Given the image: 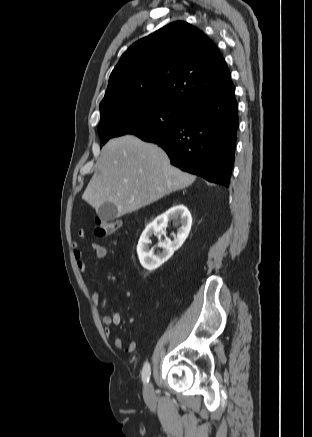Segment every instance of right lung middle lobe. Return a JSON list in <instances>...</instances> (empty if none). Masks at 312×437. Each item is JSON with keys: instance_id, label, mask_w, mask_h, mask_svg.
I'll use <instances>...</instances> for the list:
<instances>
[{"instance_id": "dd1d6c3e", "label": "right lung middle lobe", "mask_w": 312, "mask_h": 437, "mask_svg": "<svg viewBox=\"0 0 312 437\" xmlns=\"http://www.w3.org/2000/svg\"><path fill=\"white\" fill-rule=\"evenodd\" d=\"M185 108L161 102L132 103L118 107L104 116L98 125L101 146L108 139L134 134L141 139L159 135L180 123Z\"/></svg>"}]
</instances>
